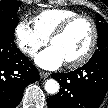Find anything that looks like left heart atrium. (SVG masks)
Segmentation results:
<instances>
[{
    "instance_id": "39dd6f15",
    "label": "left heart atrium",
    "mask_w": 108,
    "mask_h": 108,
    "mask_svg": "<svg viewBox=\"0 0 108 108\" xmlns=\"http://www.w3.org/2000/svg\"><path fill=\"white\" fill-rule=\"evenodd\" d=\"M37 65L44 69L59 68L65 61L59 50L51 46L37 55L35 58Z\"/></svg>"
}]
</instances>
